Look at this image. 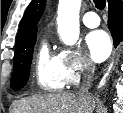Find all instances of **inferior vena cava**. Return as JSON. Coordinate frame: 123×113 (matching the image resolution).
Instances as JSON below:
<instances>
[{
  "instance_id": "obj_1",
  "label": "inferior vena cava",
  "mask_w": 123,
  "mask_h": 113,
  "mask_svg": "<svg viewBox=\"0 0 123 113\" xmlns=\"http://www.w3.org/2000/svg\"><path fill=\"white\" fill-rule=\"evenodd\" d=\"M95 71V67L92 63H87L85 67V73L83 75L82 84L79 89V95L84 97H89V88L93 79V74Z\"/></svg>"
}]
</instances>
